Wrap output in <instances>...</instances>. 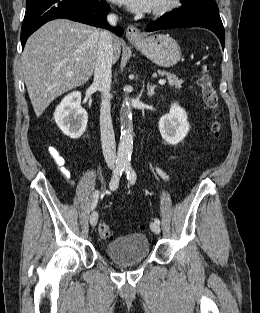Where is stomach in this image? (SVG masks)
<instances>
[{
	"mask_svg": "<svg viewBox=\"0 0 260 313\" xmlns=\"http://www.w3.org/2000/svg\"><path fill=\"white\" fill-rule=\"evenodd\" d=\"M131 43L153 63L161 67H172L181 59L178 43L168 34L146 35Z\"/></svg>",
	"mask_w": 260,
	"mask_h": 313,
	"instance_id": "obj_1",
	"label": "stomach"
}]
</instances>
